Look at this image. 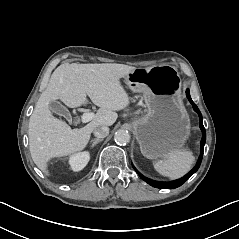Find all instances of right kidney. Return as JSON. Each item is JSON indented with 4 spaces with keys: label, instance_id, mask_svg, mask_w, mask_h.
<instances>
[{
    "label": "right kidney",
    "instance_id": "obj_1",
    "mask_svg": "<svg viewBox=\"0 0 239 239\" xmlns=\"http://www.w3.org/2000/svg\"><path fill=\"white\" fill-rule=\"evenodd\" d=\"M90 154L88 151L78 152L70 156L69 165L74 172L81 171L89 162Z\"/></svg>",
    "mask_w": 239,
    "mask_h": 239
}]
</instances>
